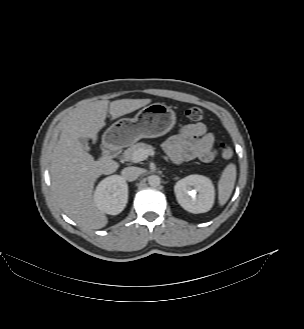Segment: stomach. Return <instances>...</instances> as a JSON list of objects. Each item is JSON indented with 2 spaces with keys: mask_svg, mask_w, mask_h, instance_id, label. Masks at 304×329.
<instances>
[{
  "mask_svg": "<svg viewBox=\"0 0 304 329\" xmlns=\"http://www.w3.org/2000/svg\"><path fill=\"white\" fill-rule=\"evenodd\" d=\"M176 123L175 112L163 103H153L142 108L134 118H122L103 134L102 143L107 148L129 146L142 138H156L169 132Z\"/></svg>",
  "mask_w": 304,
  "mask_h": 329,
  "instance_id": "1",
  "label": "stomach"
}]
</instances>
